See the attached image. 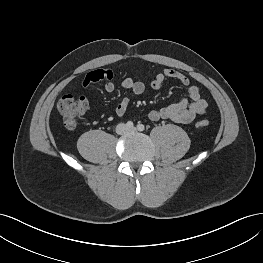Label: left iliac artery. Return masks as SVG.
<instances>
[{
    "mask_svg": "<svg viewBox=\"0 0 263 263\" xmlns=\"http://www.w3.org/2000/svg\"><path fill=\"white\" fill-rule=\"evenodd\" d=\"M137 129H138L139 131H143V130L145 129V126H144L143 124H138V125H137Z\"/></svg>",
    "mask_w": 263,
    "mask_h": 263,
    "instance_id": "44dca946",
    "label": "left iliac artery"
}]
</instances>
